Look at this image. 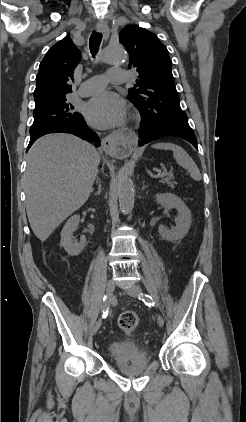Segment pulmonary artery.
I'll list each match as a JSON object with an SVG mask.
<instances>
[{"instance_id":"obj_1","label":"pulmonary artery","mask_w":246,"mask_h":422,"mask_svg":"<svg viewBox=\"0 0 246 422\" xmlns=\"http://www.w3.org/2000/svg\"><path fill=\"white\" fill-rule=\"evenodd\" d=\"M127 79V73L120 68L110 69L106 75H95L81 85L78 95L81 97L90 96L102 91L108 82L124 83Z\"/></svg>"}]
</instances>
